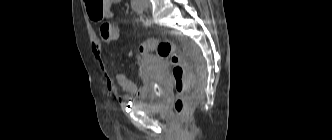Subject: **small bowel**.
I'll return each mask as SVG.
<instances>
[{
	"instance_id": "c3829d8e",
	"label": "small bowel",
	"mask_w": 332,
	"mask_h": 140,
	"mask_svg": "<svg viewBox=\"0 0 332 140\" xmlns=\"http://www.w3.org/2000/svg\"><path fill=\"white\" fill-rule=\"evenodd\" d=\"M121 0H107L105 5V10L103 13V19H109L112 18V7L118 3H120ZM117 39L108 38L103 36L101 33L98 37H95L92 42V51L96 58V60L99 63V66L103 72L104 79L107 84V90L111 94L117 93V87L110 76L106 64L102 58V43L110 44L114 42ZM139 75L142 81V84L140 86L136 85L134 82L128 79L126 74L122 72H118L115 74V81L120 85V87L125 91L124 99L127 101H132L134 97H144L146 96L150 91V78L147 71L141 67L139 69Z\"/></svg>"
}]
</instances>
